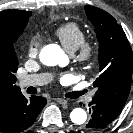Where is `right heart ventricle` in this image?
<instances>
[{
	"label": "right heart ventricle",
	"instance_id": "1",
	"mask_svg": "<svg viewBox=\"0 0 133 133\" xmlns=\"http://www.w3.org/2000/svg\"><path fill=\"white\" fill-rule=\"evenodd\" d=\"M54 34L69 52H74L86 40L84 30L74 22L58 26Z\"/></svg>",
	"mask_w": 133,
	"mask_h": 133
}]
</instances>
